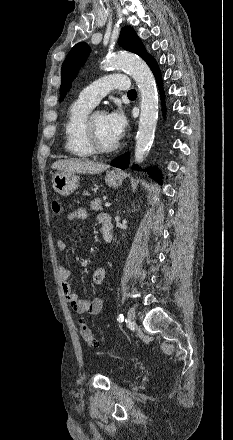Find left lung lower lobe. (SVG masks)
<instances>
[{
    "instance_id": "0a47b994",
    "label": "left lung lower lobe",
    "mask_w": 233,
    "mask_h": 440,
    "mask_svg": "<svg viewBox=\"0 0 233 440\" xmlns=\"http://www.w3.org/2000/svg\"><path fill=\"white\" fill-rule=\"evenodd\" d=\"M146 62L149 65V67L151 68L153 74L155 75V78L157 80V84H158L159 89L163 95L162 79H161L160 70H159L157 62L155 61V59L152 56ZM129 163H130V154L125 153V154L119 156L118 158H116L115 160H113L111 162V165L114 167L121 168V169H126L129 166ZM133 168L135 169V168H137V166H134ZM149 175L153 179L157 180L159 183L161 182V176L156 171L149 172Z\"/></svg>"
}]
</instances>
